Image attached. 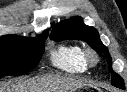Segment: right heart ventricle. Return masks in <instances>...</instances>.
Wrapping results in <instances>:
<instances>
[{
	"label": "right heart ventricle",
	"mask_w": 127,
	"mask_h": 92,
	"mask_svg": "<svg viewBox=\"0 0 127 92\" xmlns=\"http://www.w3.org/2000/svg\"><path fill=\"white\" fill-rule=\"evenodd\" d=\"M54 67L67 73H83L88 65L84 60L83 50L76 45H60L51 53Z\"/></svg>",
	"instance_id": "right-heart-ventricle-1"
}]
</instances>
